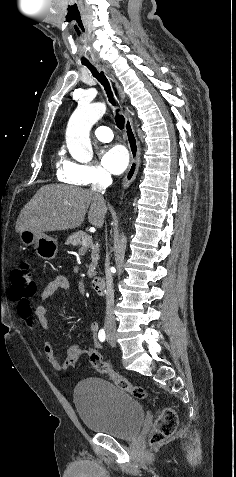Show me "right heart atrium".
<instances>
[{"instance_id": "right-heart-atrium-1", "label": "right heart atrium", "mask_w": 236, "mask_h": 477, "mask_svg": "<svg viewBox=\"0 0 236 477\" xmlns=\"http://www.w3.org/2000/svg\"><path fill=\"white\" fill-rule=\"evenodd\" d=\"M60 176L64 182L77 186L99 185L110 178L109 173L100 165L64 161Z\"/></svg>"}]
</instances>
